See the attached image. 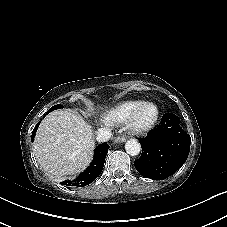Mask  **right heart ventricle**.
Masks as SVG:
<instances>
[{
    "mask_svg": "<svg viewBox=\"0 0 227 227\" xmlns=\"http://www.w3.org/2000/svg\"><path fill=\"white\" fill-rule=\"evenodd\" d=\"M141 100H132L118 103L100 115L102 122L122 123L142 103Z\"/></svg>",
    "mask_w": 227,
    "mask_h": 227,
    "instance_id": "right-heart-ventricle-1",
    "label": "right heart ventricle"
}]
</instances>
